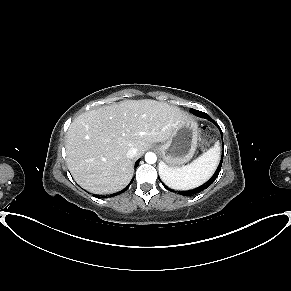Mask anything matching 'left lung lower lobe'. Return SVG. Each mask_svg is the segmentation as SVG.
<instances>
[{
  "label": "left lung lower lobe",
  "mask_w": 291,
  "mask_h": 291,
  "mask_svg": "<svg viewBox=\"0 0 291 291\" xmlns=\"http://www.w3.org/2000/svg\"><path fill=\"white\" fill-rule=\"evenodd\" d=\"M192 113L194 114V115H196V116H198V117H201V118H204V119H208V120H210L211 122H213L214 124H216V122L208 115V114H206V113H204V112H201V111H198V110H193L192 111ZM217 125V124H216ZM218 126V125H217ZM218 128H219V126H218ZM220 129V128H219ZM220 131H221V129H220ZM221 134H222V131H221ZM223 155H224V146H223V152H222V157H221V160H220V162H219V165H218V168H217V170H216V172H215V174L206 182V183H204L203 185H201L200 187H197V188H195V189H193V190H189V191H184V192H178V194H181V195H183V196H194V195H196V194H198V193H200V192H202L203 190H205V189H207L214 181H215V179L218 177V174H219V172H220V170H221V167H222V162H223ZM164 187L165 188H167L165 185H164ZM170 190V189H169ZM170 191H172V190H170Z\"/></svg>",
  "instance_id": "0a47b994"
}]
</instances>
